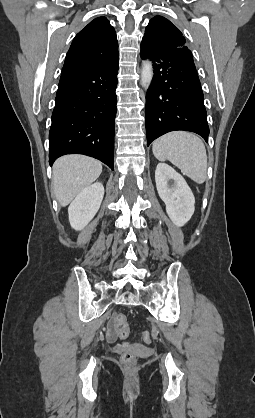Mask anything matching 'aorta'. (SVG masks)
I'll list each match as a JSON object with an SVG mask.
<instances>
[{
    "mask_svg": "<svg viewBox=\"0 0 255 418\" xmlns=\"http://www.w3.org/2000/svg\"><path fill=\"white\" fill-rule=\"evenodd\" d=\"M152 77H153L152 63L149 60H145L142 64V71H141V82L145 89H147L150 86Z\"/></svg>",
    "mask_w": 255,
    "mask_h": 418,
    "instance_id": "aorta-1",
    "label": "aorta"
}]
</instances>
